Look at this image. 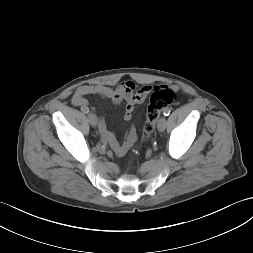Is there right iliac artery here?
<instances>
[{"label": "right iliac artery", "instance_id": "obj_1", "mask_svg": "<svg viewBox=\"0 0 253 253\" xmlns=\"http://www.w3.org/2000/svg\"><path fill=\"white\" fill-rule=\"evenodd\" d=\"M84 113H88L89 112V109L88 108H85L82 110Z\"/></svg>", "mask_w": 253, "mask_h": 253}]
</instances>
